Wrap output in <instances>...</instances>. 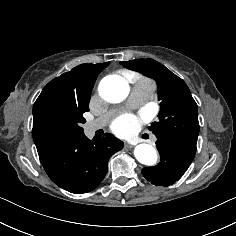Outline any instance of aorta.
I'll return each instance as SVG.
<instances>
[{
    "instance_id": "762f6f07",
    "label": "aorta",
    "mask_w": 236,
    "mask_h": 236,
    "mask_svg": "<svg viewBox=\"0 0 236 236\" xmlns=\"http://www.w3.org/2000/svg\"><path fill=\"white\" fill-rule=\"evenodd\" d=\"M101 97L110 103H119L129 94V85L126 80L117 75L102 79L99 85ZM134 156L141 164L152 166L157 162V152L149 144H139L134 149Z\"/></svg>"
}]
</instances>
